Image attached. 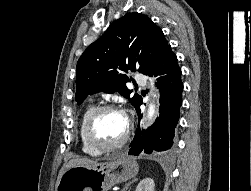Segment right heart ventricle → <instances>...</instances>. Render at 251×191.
Wrapping results in <instances>:
<instances>
[{
	"mask_svg": "<svg viewBox=\"0 0 251 191\" xmlns=\"http://www.w3.org/2000/svg\"><path fill=\"white\" fill-rule=\"evenodd\" d=\"M94 108H95L94 102L89 101L80 116L78 131H77V144H78L79 151L87 157H98L101 155V152L96 151L90 148L89 146H87V144L84 141V136H83L84 123Z\"/></svg>",
	"mask_w": 251,
	"mask_h": 191,
	"instance_id": "obj_1",
	"label": "right heart ventricle"
}]
</instances>
